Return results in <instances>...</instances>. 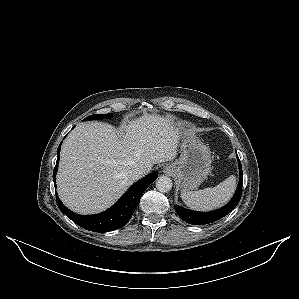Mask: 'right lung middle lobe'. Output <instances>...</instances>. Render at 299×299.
<instances>
[{"mask_svg": "<svg viewBox=\"0 0 299 299\" xmlns=\"http://www.w3.org/2000/svg\"><path fill=\"white\" fill-rule=\"evenodd\" d=\"M113 117L112 113H108V114H94V115H90L88 117H86L84 120H95V119H110Z\"/></svg>", "mask_w": 299, "mask_h": 299, "instance_id": "1", "label": "right lung middle lobe"}]
</instances>
